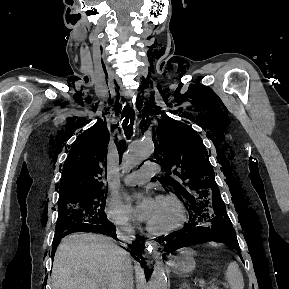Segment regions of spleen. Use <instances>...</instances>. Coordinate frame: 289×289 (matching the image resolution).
Instances as JSON below:
<instances>
[{"label":"spleen","instance_id":"obj_1","mask_svg":"<svg viewBox=\"0 0 289 289\" xmlns=\"http://www.w3.org/2000/svg\"><path fill=\"white\" fill-rule=\"evenodd\" d=\"M225 279L231 289H244V280L236 262L228 264L225 271Z\"/></svg>","mask_w":289,"mask_h":289}]
</instances>
